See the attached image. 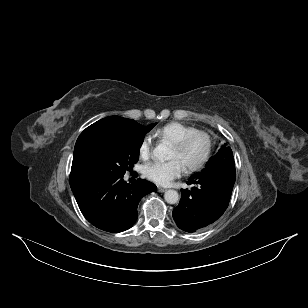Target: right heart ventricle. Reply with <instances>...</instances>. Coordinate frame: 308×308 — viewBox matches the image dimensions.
Segmentation results:
<instances>
[{
	"label": "right heart ventricle",
	"instance_id": "1",
	"mask_svg": "<svg viewBox=\"0 0 308 308\" xmlns=\"http://www.w3.org/2000/svg\"><path fill=\"white\" fill-rule=\"evenodd\" d=\"M196 130L197 129L193 126L173 121L156 129L153 132V136L158 138L160 141L174 144Z\"/></svg>",
	"mask_w": 308,
	"mask_h": 308
}]
</instances>
